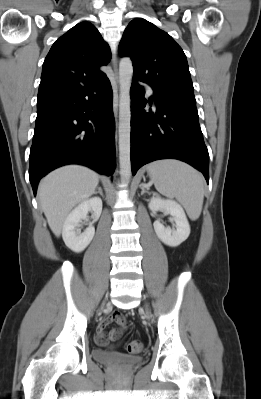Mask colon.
<instances>
[{
  "mask_svg": "<svg viewBox=\"0 0 261 399\" xmlns=\"http://www.w3.org/2000/svg\"><path fill=\"white\" fill-rule=\"evenodd\" d=\"M143 342L140 340H132L126 344V350L130 354H139L143 350Z\"/></svg>",
  "mask_w": 261,
  "mask_h": 399,
  "instance_id": "colon-1",
  "label": "colon"
}]
</instances>
